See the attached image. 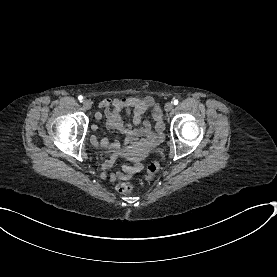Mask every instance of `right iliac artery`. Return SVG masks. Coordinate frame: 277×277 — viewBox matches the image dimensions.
I'll return each instance as SVG.
<instances>
[{"instance_id":"right-iliac-artery-1","label":"right iliac artery","mask_w":277,"mask_h":277,"mask_svg":"<svg viewBox=\"0 0 277 277\" xmlns=\"http://www.w3.org/2000/svg\"><path fill=\"white\" fill-rule=\"evenodd\" d=\"M78 99H79L80 102H82L83 97H82V96H79Z\"/></svg>"}]
</instances>
